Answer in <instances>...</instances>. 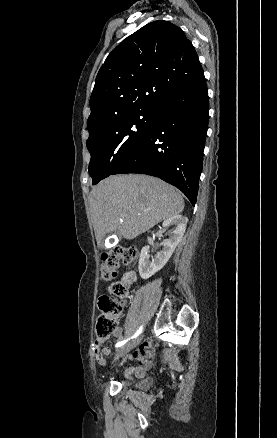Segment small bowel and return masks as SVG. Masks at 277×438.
Returning a JSON list of instances; mask_svg holds the SVG:
<instances>
[{"mask_svg":"<svg viewBox=\"0 0 277 438\" xmlns=\"http://www.w3.org/2000/svg\"><path fill=\"white\" fill-rule=\"evenodd\" d=\"M122 335H123V329L121 327H117L114 330V332L112 333V336L118 340L122 338ZM105 340H106V338L98 337L96 339V346H100L101 344L104 343ZM150 348H151V345L148 342H144L141 344L140 349L134 352L133 357L142 363V367L129 370L128 371L129 374L134 372L136 375L141 376L144 374L145 369L150 367V364L146 360V358L150 354ZM92 353H93V355L97 356L96 360L98 362V365L100 367H103L105 365L104 355L105 356L110 355L111 350L108 347L103 348V350H102L103 355H102V354H100L101 353L100 348L95 347V348H93Z\"/></svg>","mask_w":277,"mask_h":438,"instance_id":"small-bowel-1","label":"small bowel"}]
</instances>
